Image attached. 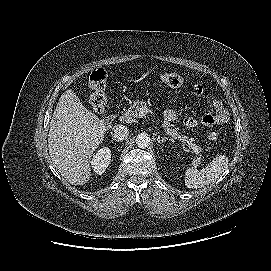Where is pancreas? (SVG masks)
<instances>
[{
    "instance_id": "cf45deb5",
    "label": "pancreas",
    "mask_w": 271,
    "mask_h": 271,
    "mask_svg": "<svg viewBox=\"0 0 271 271\" xmlns=\"http://www.w3.org/2000/svg\"><path fill=\"white\" fill-rule=\"evenodd\" d=\"M146 103L142 100H135L130 105L129 109H127L124 114L120 117L121 121H124L126 123H132L136 122L139 118V109L143 106H145ZM162 127L164 128V131L166 134H168L171 137V140L177 139L180 142H182L183 145H187L192 153H195L197 157L193 160V164L195 166L199 165L201 163V148L194 144V139L189 138L185 135H181L177 128H175L174 124H171L167 119H164L162 122Z\"/></svg>"
}]
</instances>
